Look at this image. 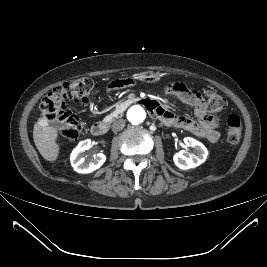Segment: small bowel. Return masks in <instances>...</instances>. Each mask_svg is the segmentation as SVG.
Here are the masks:
<instances>
[{"mask_svg":"<svg viewBox=\"0 0 267 267\" xmlns=\"http://www.w3.org/2000/svg\"><path fill=\"white\" fill-rule=\"evenodd\" d=\"M133 83L134 80L132 78L118 79L109 85V90L115 91ZM166 90L169 94L189 105L194 111L196 120H192L186 116L176 115L162 107L158 102H152L151 110L164 123L186 130L211 143H215L220 139V132L218 131L219 122L208 114L206 103L196 89L190 88L180 82H173L167 85Z\"/></svg>","mask_w":267,"mask_h":267,"instance_id":"obj_1","label":"small bowel"}]
</instances>
